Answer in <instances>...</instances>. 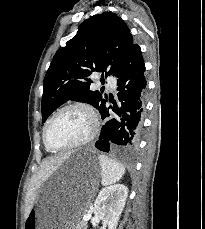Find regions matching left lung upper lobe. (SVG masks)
<instances>
[{"label": "left lung upper lobe", "instance_id": "5c2ea615", "mask_svg": "<svg viewBox=\"0 0 205 229\" xmlns=\"http://www.w3.org/2000/svg\"><path fill=\"white\" fill-rule=\"evenodd\" d=\"M132 45L129 28L114 13L103 12L83 21L66 47L57 50L45 75L42 122L68 100L89 103L99 112L106 108L102 93L89 89V76L95 71L114 75Z\"/></svg>", "mask_w": 205, "mask_h": 229}]
</instances>
